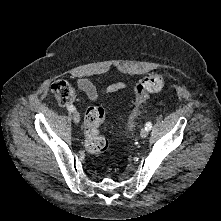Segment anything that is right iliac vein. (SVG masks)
Instances as JSON below:
<instances>
[{
  "instance_id": "right-iliac-vein-1",
  "label": "right iliac vein",
  "mask_w": 221,
  "mask_h": 221,
  "mask_svg": "<svg viewBox=\"0 0 221 221\" xmlns=\"http://www.w3.org/2000/svg\"><path fill=\"white\" fill-rule=\"evenodd\" d=\"M73 120H74V122H75L76 124H78V123L80 122V115H79V113H78L77 111H75V112L73 113Z\"/></svg>"
}]
</instances>
